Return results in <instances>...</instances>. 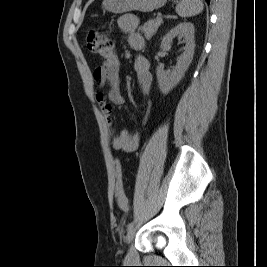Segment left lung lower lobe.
<instances>
[{
	"label": "left lung lower lobe",
	"mask_w": 267,
	"mask_h": 267,
	"mask_svg": "<svg viewBox=\"0 0 267 267\" xmlns=\"http://www.w3.org/2000/svg\"><path fill=\"white\" fill-rule=\"evenodd\" d=\"M208 4L210 3V0H205Z\"/></svg>",
	"instance_id": "0a47b994"
}]
</instances>
